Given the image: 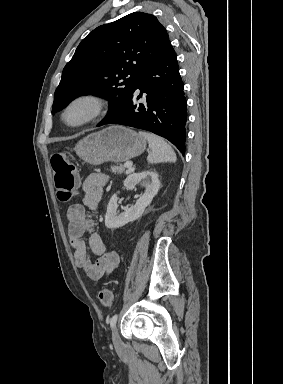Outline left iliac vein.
I'll use <instances>...</instances> for the list:
<instances>
[{
  "label": "left iliac vein",
  "mask_w": 283,
  "mask_h": 384,
  "mask_svg": "<svg viewBox=\"0 0 283 384\" xmlns=\"http://www.w3.org/2000/svg\"><path fill=\"white\" fill-rule=\"evenodd\" d=\"M112 341L114 344V347L117 351H122L123 350V342L119 336V332L116 326H114L113 331H112Z\"/></svg>",
  "instance_id": "obj_1"
}]
</instances>
